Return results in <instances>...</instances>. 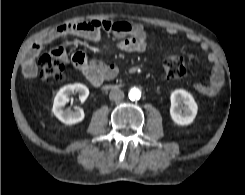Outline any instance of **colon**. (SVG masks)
<instances>
[{
	"label": "colon",
	"instance_id": "5ec220e1",
	"mask_svg": "<svg viewBox=\"0 0 245 195\" xmlns=\"http://www.w3.org/2000/svg\"><path fill=\"white\" fill-rule=\"evenodd\" d=\"M39 76L44 82H59L65 72L64 60L49 55H43L39 59ZM164 71L168 78L178 79L185 75V63L178 54L169 55L164 61Z\"/></svg>",
	"mask_w": 245,
	"mask_h": 195
}]
</instances>
